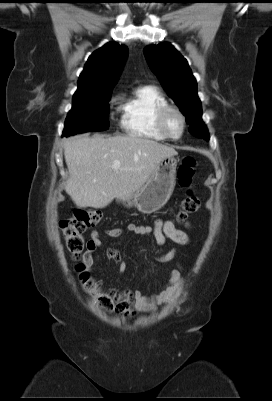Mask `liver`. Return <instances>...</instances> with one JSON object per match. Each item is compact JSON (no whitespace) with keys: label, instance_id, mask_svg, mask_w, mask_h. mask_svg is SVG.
I'll return each mask as SVG.
<instances>
[{"label":"liver","instance_id":"liver-1","mask_svg":"<svg viewBox=\"0 0 272 401\" xmlns=\"http://www.w3.org/2000/svg\"><path fill=\"white\" fill-rule=\"evenodd\" d=\"M177 151L135 136L76 135L64 140L69 171L65 191L78 207L104 208L125 199L149 180L157 164ZM119 161L118 169L113 162Z\"/></svg>","mask_w":272,"mask_h":401}]
</instances>
